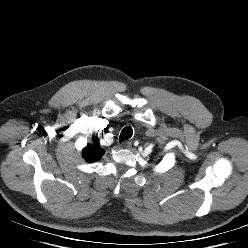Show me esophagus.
<instances>
[{
  "label": "esophagus",
  "instance_id": "34e87169",
  "mask_svg": "<svg viewBox=\"0 0 248 248\" xmlns=\"http://www.w3.org/2000/svg\"><path fill=\"white\" fill-rule=\"evenodd\" d=\"M123 147L126 149H130L132 147V142L131 141L124 142Z\"/></svg>",
  "mask_w": 248,
  "mask_h": 248
}]
</instances>
